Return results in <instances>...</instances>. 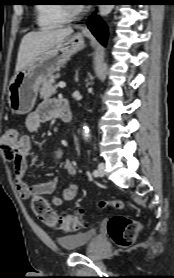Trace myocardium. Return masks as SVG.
Returning <instances> with one entry per match:
<instances>
[{
  "mask_svg": "<svg viewBox=\"0 0 174 278\" xmlns=\"http://www.w3.org/2000/svg\"><path fill=\"white\" fill-rule=\"evenodd\" d=\"M62 10L65 16L68 17L69 19L75 18L83 12L82 7L71 5V4L62 5Z\"/></svg>",
  "mask_w": 174,
  "mask_h": 278,
  "instance_id": "obj_1",
  "label": "myocardium"
}]
</instances>
